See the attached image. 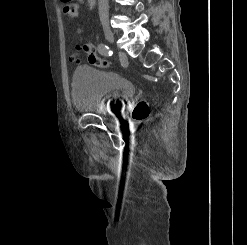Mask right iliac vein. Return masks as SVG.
<instances>
[{"instance_id":"1","label":"right iliac vein","mask_w":247,"mask_h":245,"mask_svg":"<svg viewBox=\"0 0 247 245\" xmlns=\"http://www.w3.org/2000/svg\"><path fill=\"white\" fill-rule=\"evenodd\" d=\"M103 30H104V35H105L106 40L110 43H113L114 42V34H113L112 30L108 26L104 27Z\"/></svg>"}]
</instances>
